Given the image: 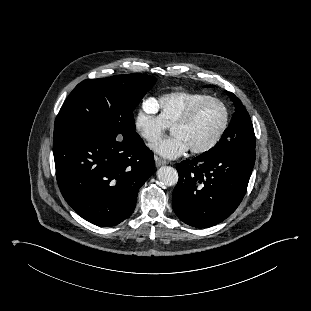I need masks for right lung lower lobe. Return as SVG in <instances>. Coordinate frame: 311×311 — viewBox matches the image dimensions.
Here are the masks:
<instances>
[{
  "instance_id": "right-lung-lower-lobe-1",
  "label": "right lung lower lobe",
  "mask_w": 311,
  "mask_h": 311,
  "mask_svg": "<svg viewBox=\"0 0 311 311\" xmlns=\"http://www.w3.org/2000/svg\"><path fill=\"white\" fill-rule=\"evenodd\" d=\"M56 178L71 208L98 226H114L134 211L139 188L154 173L153 152L131 141L66 138L53 145Z\"/></svg>"
}]
</instances>
